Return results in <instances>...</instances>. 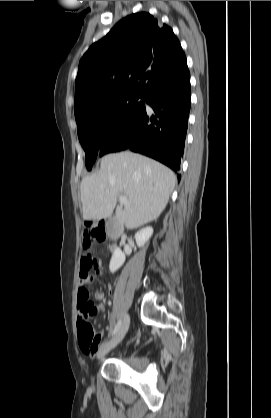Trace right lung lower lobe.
<instances>
[{"label": "right lung lower lobe", "mask_w": 271, "mask_h": 418, "mask_svg": "<svg viewBox=\"0 0 271 418\" xmlns=\"http://www.w3.org/2000/svg\"><path fill=\"white\" fill-rule=\"evenodd\" d=\"M135 114L113 130L104 140L99 155L130 149L152 157L173 169L180 165L190 111V73L185 62L159 83ZM178 175V179H180Z\"/></svg>", "instance_id": "right-lung-lower-lobe-1"}]
</instances>
